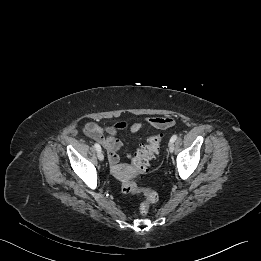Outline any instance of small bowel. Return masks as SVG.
I'll use <instances>...</instances> for the list:
<instances>
[{"label":"small bowel","mask_w":261,"mask_h":261,"mask_svg":"<svg viewBox=\"0 0 261 261\" xmlns=\"http://www.w3.org/2000/svg\"><path fill=\"white\" fill-rule=\"evenodd\" d=\"M175 124L173 117H147L139 122L127 123L117 122L114 124L101 127L95 122H88L84 126V133L91 139L97 141L108 151V158L111 164L115 165L119 161L118 151L122 148L123 144L118 138L119 132L128 129L130 132L135 133L140 131L145 125L157 129H166Z\"/></svg>","instance_id":"obj_1"}]
</instances>
